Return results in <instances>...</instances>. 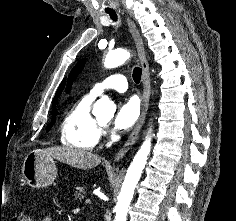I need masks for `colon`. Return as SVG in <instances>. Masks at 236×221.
Listing matches in <instances>:
<instances>
[{
    "instance_id": "5ec220e1",
    "label": "colon",
    "mask_w": 236,
    "mask_h": 221,
    "mask_svg": "<svg viewBox=\"0 0 236 221\" xmlns=\"http://www.w3.org/2000/svg\"><path fill=\"white\" fill-rule=\"evenodd\" d=\"M11 221H33L31 216L25 212L17 213Z\"/></svg>"
}]
</instances>
